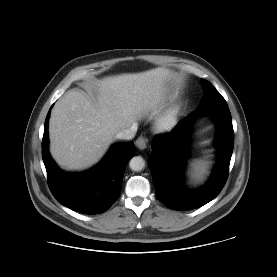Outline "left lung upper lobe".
Masks as SVG:
<instances>
[{"instance_id": "1", "label": "left lung upper lobe", "mask_w": 277, "mask_h": 277, "mask_svg": "<svg viewBox=\"0 0 277 277\" xmlns=\"http://www.w3.org/2000/svg\"><path fill=\"white\" fill-rule=\"evenodd\" d=\"M201 82L204 86L205 93L196 110L208 107L214 103L226 102L222 95L213 87L210 82L204 79H201Z\"/></svg>"}]
</instances>
